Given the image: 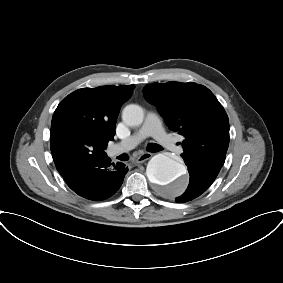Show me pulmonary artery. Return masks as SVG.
I'll list each match as a JSON object with an SVG mask.
<instances>
[{
  "instance_id": "pulmonary-artery-1",
  "label": "pulmonary artery",
  "mask_w": 283,
  "mask_h": 283,
  "mask_svg": "<svg viewBox=\"0 0 283 283\" xmlns=\"http://www.w3.org/2000/svg\"><path fill=\"white\" fill-rule=\"evenodd\" d=\"M149 136H152L162 147L170 151L176 152L179 149L175 140L166 134L161 118L156 112H149L139 131L119 143L116 148L118 150L132 149Z\"/></svg>"
}]
</instances>
